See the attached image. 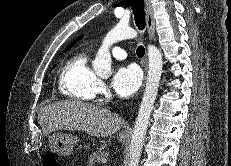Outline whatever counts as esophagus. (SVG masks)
<instances>
[{
	"label": "esophagus",
	"instance_id": "esophagus-1",
	"mask_svg": "<svg viewBox=\"0 0 231 166\" xmlns=\"http://www.w3.org/2000/svg\"><path fill=\"white\" fill-rule=\"evenodd\" d=\"M145 5V13H146V22H147V29L149 34V40L152 41L155 35V19L153 14V8L151 5L150 0H143ZM144 67H145V78L147 72V55L145 56L144 60ZM131 131V127L128 126L123 133H129Z\"/></svg>",
	"mask_w": 231,
	"mask_h": 166
}]
</instances>
